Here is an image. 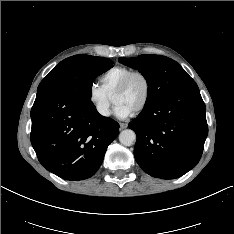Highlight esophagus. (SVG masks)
<instances>
[{"label":"esophagus","instance_id":"obj_1","mask_svg":"<svg viewBox=\"0 0 234 234\" xmlns=\"http://www.w3.org/2000/svg\"><path fill=\"white\" fill-rule=\"evenodd\" d=\"M127 126H128L127 123H124V122H121V123H120V128H121V129H126Z\"/></svg>","mask_w":234,"mask_h":234}]
</instances>
